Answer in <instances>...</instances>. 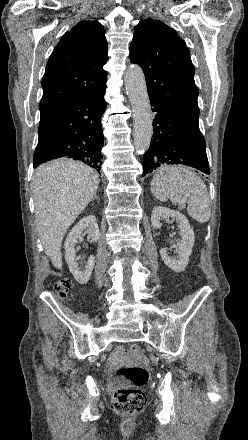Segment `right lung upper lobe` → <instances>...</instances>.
Segmentation results:
<instances>
[{
	"label": "right lung upper lobe",
	"mask_w": 248,
	"mask_h": 440,
	"mask_svg": "<svg viewBox=\"0 0 248 440\" xmlns=\"http://www.w3.org/2000/svg\"><path fill=\"white\" fill-rule=\"evenodd\" d=\"M107 52L105 30L97 21H80L66 32L46 66L40 112L105 90Z\"/></svg>",
	"instance_id": "1"
}]
</instances>
